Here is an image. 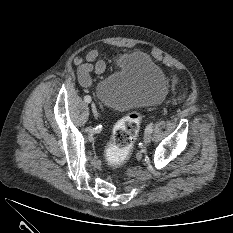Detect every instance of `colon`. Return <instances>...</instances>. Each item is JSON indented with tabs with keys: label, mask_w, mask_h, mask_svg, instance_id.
I'll list each match as a JSON object with an SVG mask.
<instances>
[{
	"label": "colon",
	"mask_w": 233,
	"mask_h": 233,
	"mask_svg": "<svg viewBox=\"0 0 233 233\" xmlns=\"http://www.w3.org/2000/svg\"><path fill=\"white\" fill-rule=\"evenodd\" d=\"M140 122V114L134 111L116 124L106 152L107 161L111 167H118L129 156L139 132Z\"/></svg>",
	"instance_id": "colon-1"
}]
</instances>
